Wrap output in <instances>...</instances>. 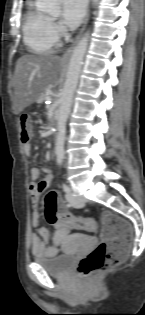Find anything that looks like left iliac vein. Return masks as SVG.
Segmentation results:
<instances>
[{"label":"left iliac vein","mask_w":145,"mask_h":315,"mask_svg":"<svg viewBox=\"0 0 145 315\" xmlns=\"http://www.w3.org/2000/svg\"><path fill=\"white\" fill-rule=\"evenodd\" d=\"M67 201L74 207L81 208L85 205V199L75 195L74 192H68L66 194Z\"/></svg>","instance_id":"obj_1"}]
</instances>
